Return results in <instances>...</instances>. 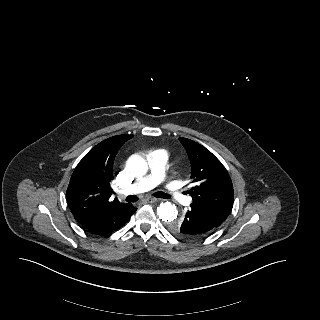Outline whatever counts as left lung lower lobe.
I'll list each match as a JSON object with an SVG mask.
<instances>
[{"label": "left lung lower lobe", "mask_w": 320, "mask_h": 320, "mask_svg": "<svg viewBox=\"0 0 320 320\" xmlns=\"http://www.w3.org/2000/svg\"><path fill=\"white\" fill-rule=\"evenodd\" d=\"M180 221V230L188 237L195 239L202 238L212 233L218 227L204 215L196 213L192 209H189ZM169 228L171 230L170 225Z\"/></svg>", "instance_id": "0a47b994"}]
</instances>
